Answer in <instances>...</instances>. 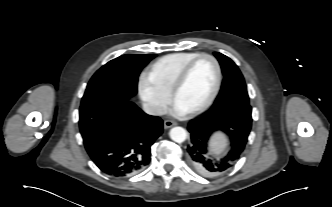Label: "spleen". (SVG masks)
Segmentation results:
<instances>
[{
    "mask_svg": "<svg viewBox=\"0 0 332 207\" xmlns=\"http://www.w3.org/2000/svg\"><path fill=\"white\" fill-rule=\"evenodd\" d=\"M226 145V139L220 135H216L210 142V150L212 153L219 155L224 151Z\"/></svg>",
    "mask_w": 332,
    "mask_h": 207,
    "instance_id": "obj_1",
    "label": "spleen"
}]
</instances>
